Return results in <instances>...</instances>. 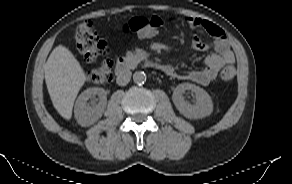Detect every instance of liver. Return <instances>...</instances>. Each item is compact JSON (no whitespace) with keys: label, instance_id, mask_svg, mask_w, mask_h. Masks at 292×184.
<instances>
[{"label":"liver","instance_id":"6515ba94","mask_svg":"<svg viewBox=\"0 0 292 184\" xmlns=\"http://www.w3.org/2000/svg\"><path fill=\"white\" fill-rule=\"evenodd\" d=\"M44 71L54 108L69 120L77 94L86 81L83 68L69 49L59 45L51 52Z\"/></svg>","mask_w":292,"mask_h":184}]
</instances>
